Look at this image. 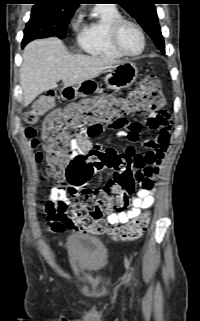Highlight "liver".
<instances>
[{
    "label": "liver",
    "instance_id": "liver-1",
    "mask_svg": "<svg viewBox=\"0 0 200 321\" xmlns=\"http://www.w3.org/2000/svg\"><path fill=\"white\" fill-rule=\"evenodd\" d=\"M22 58L20 84L24 106L29 105L41 93L56 88L60 80L64 87L74 86L121 63L106 56L70 55L57 38L29 43Z\"/></svg>",
    "mask_w": 200,
    "mask_h": 321
}]
</instances>
